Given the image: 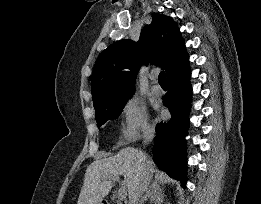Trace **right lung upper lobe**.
<instances>
[{
	"label": "right lung upper lobe",
	"instance_id": "1",
	"mask_svg": "<svg viewBox=\"0 0 261 204\" xmlns=\"http://www.w3.org/2000/svg\"><path fill=\"white\" fill-rule=\"evenodd\" d=\"M141 63L160 64L167 77L188 63L180 30L171 17L154 14L138 42L121 40L100 54L91 77L94 107L133 93Z\"/></svg>",
	"mask_w": 261,
	"mask_h": 204
}]
</instances>
